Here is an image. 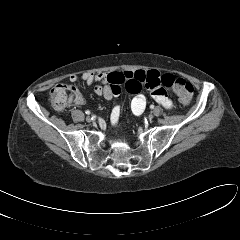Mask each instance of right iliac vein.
<instances>
[{
    "mask_svg": "<svg viewBox=\"0 0 240 240\" xmlns=\"http://www.w3.org/2000/svg\"><path fill=\"white\" fill-rule=\"evenodd\" d=\"M86 121H87V122H91V121H92L91 117H90V116H87V117H86Z\"/></svg>",
    "mask_w": 240,
    "mask_h": 240,
    "instance_id": "1",
    "label": "right iliac vein"
}]
</instances>
